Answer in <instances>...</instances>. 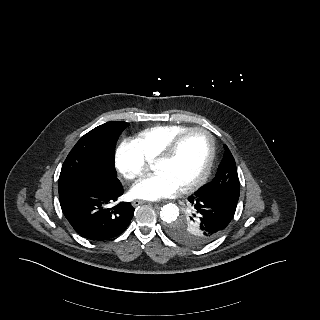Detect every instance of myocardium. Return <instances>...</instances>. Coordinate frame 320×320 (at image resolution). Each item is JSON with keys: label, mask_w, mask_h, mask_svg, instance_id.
I'll return each instance as SVG.
<instances>
[{"label": "myocardium", "mask_w": 320, "mask_h": 320, "mask_svg": "<svg viewBox=\"0 0 320 320\" xmlns=\"http://www.w3.org/2000/svg\"><path fill=\"white\" fill-rule=\"evenodd\" d=\"M196 132L202 133L208 138V141H209L208 160L200 176L196 178L194 181L182 186L180 188V192H189V191L195 190L196 188L200 187L209 177L211 170L213 168L215 156H216V144H215V139L213 135L203 127H189L184 131L180 132L179 134H177L167 144L164 150L154 159V163L165 162L170 160L176 153L181 141L189 134L196 133Z\"/></svg>", "instance_id": "1"}]
</instances>
